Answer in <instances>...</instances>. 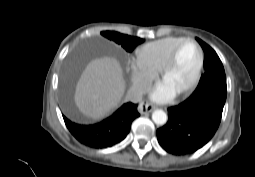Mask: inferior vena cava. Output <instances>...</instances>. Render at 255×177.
<instances>
[{"label":"inferior vena cava","mask_w":255,"mask_h":177,"mask_svg":"<svg viewBox=\"0 0 255 177\" xmlns=\"http://www.w3.org/2000/svg\"><path fill=\"white\" fill-rule=\"evenodd\" d=\"M146 91L145 84H136L133 85L127 92L126 99L133 103L140 102L142 100V96Z\"/></svg>","instance_id":"inferior-vena-cava-1"}]
</instances>
